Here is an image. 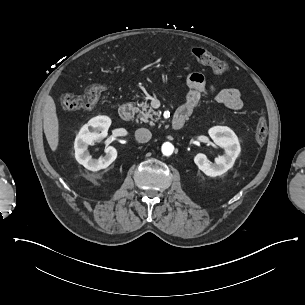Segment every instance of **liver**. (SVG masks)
Segmentation results:
<instances>
[{
	"mask_svg": "<svg viewBox=\"0 0 305 305\" xmlns=\"http://www.w3.org/2000/svg\"><path fill=\"white\" fill-rule=\"evenodd\" d=\"M43 114H44V132L48 144L53 152H57L59 147L60 123L56 111V104L51 95H47L45 98V106H44Z\"/></svg>",
	"mask_w": 305,
	"mask_h": 305,
	"instance_id": "1",
	"label": "liver"
}]
</instances>
